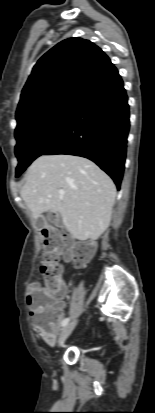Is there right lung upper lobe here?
Returning <instances> with one entry per match:
<instances>
[{"mask_svg": "<svg viewBox=\"0 0 155 413\" xmlns=\"http://www.w3.org/2000/svg\"><path fill=\"white\" fill-rule=\"evenodd\" d=\"M118 74L94 43L69 38L45 53L21 93L17 127L64 104H78Z\"/></svg>", "mask_w": 155, "mask_h": 413, "instance_id": "right-lung-upper-lobe-1", "label": "right lung upper lobe"}]
</instances>
